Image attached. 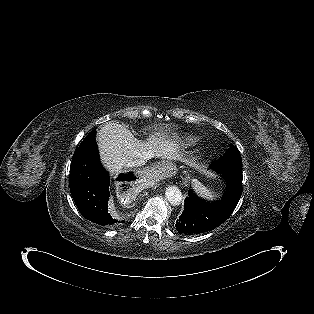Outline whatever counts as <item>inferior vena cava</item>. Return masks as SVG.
<instances>
[{"instance_id":"obj_1","label":"inferior vena cava","mask_w":314,"mask_h":314,"mask_svg":"<svg viewBox=\"0 0 314 314\" xmlns=\"http://www.w3.org/2000/svg\"><path fill=\"white\" fill-rule=\"evenodd\" d=\"M142 165H145V159H136L134 161L127 163V167H139Z\"/></svg>"}]
</instances>
